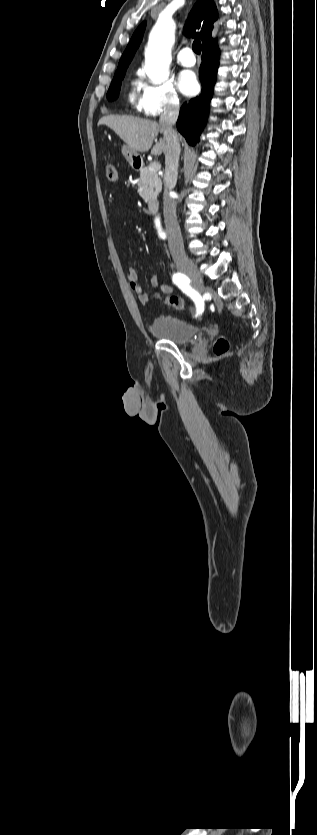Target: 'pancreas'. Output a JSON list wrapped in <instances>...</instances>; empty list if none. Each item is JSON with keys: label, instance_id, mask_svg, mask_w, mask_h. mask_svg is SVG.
Masks as SVG:
<instances>
[{"label": "pancreas", "instance_id": "obj_1", "mask_svg": "<svg viewBox=\"0 0 317 835\" xmlns=\"http://www.w3.org/2000/svg\"><path fill=\"white\" fill-rule=\"evenodd\" d=\"M161 189L162 182L156 171L149 170V167L142 168L138 179L139 195L144 200L152 202L157 199Z\"/></svg>", "mask_w": 317, "mask_h": 835}]
</instances>
